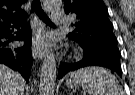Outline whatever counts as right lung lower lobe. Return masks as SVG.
I'll return each mask as SVG.
<instances>
[{
    "mask_svg": "<svg viewBox=\"0 0 135 95\" xmlns=\"http://www.w3.org/2000/svg\"><path fill=\"white\" fill-rule=\"evenodd\" d=\"M19 25L0 27V64H5L15 71H18L28 82L32 65L31 39L32 32L29 24L15 40L24 41L22 47H13L10 42L12 38V28H19ZM4 39H9L5 41Z\"/></svg>",
    "mask_w": 135,
    "mask_h": 95,
    "instance_id": "right-lung-lower-lobe-1",
    "label": "right lung lower lobe"
}]
</instances>
